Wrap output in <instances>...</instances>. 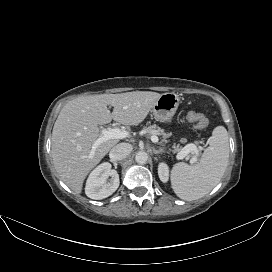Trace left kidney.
Instances as JSON below:
<instances>
[{
  "label": "left kidney",
  "instance_id": "obj_1",
  "mask_svg": "<svg viewBox=\"0 0 272 272\" xmlns=\"http://www.w3.org/2000/svg\"><path fill=\"white\" fill-rule=\"evenodd\" d=\"M158 175L162 182L166 183L169 179V168L165 163H160L158 166Z\"/></svg>",
  "mask_w": 272,
  "mask_h": 272
}]
</instances>
